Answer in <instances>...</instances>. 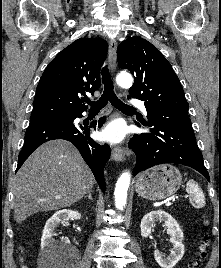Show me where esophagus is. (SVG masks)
<instances>
[{"instance_id":"1","label":"esophagus","mask_w":221,"mask_h":268,"mask_svg":"<svg viewBox=\"0 0 221 268\" xmlns=\"http://www.w3.org/2000/svg\"><path fill=\"white\" fill-rule=\"evenodd\" d=\"M117 42L114 39L109 41V59H110V66L111 70L114 72L116 69V60H117ZM127 155V150L123 149L120 146L114 147L112 150L111 157L116 162H121L124 160L125 156Z\"/></svg>"}]
</instances>
